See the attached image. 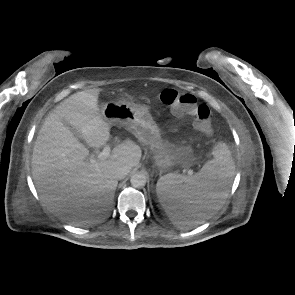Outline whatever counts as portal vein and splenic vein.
Masks as SVG:
<instances>
[{"label": "portal vein and splenic vein", "mask_w": 295, "mask_h": 295, "mask_svg": "<svg viewBox=\"0 0 295 295\" xmlns=\"http://www.w3.org/2000/svg\"><path fill=\"white\" fill-rule=\"evenodd\" d=\"M110 153H111L110 146L109 145H106L103 148L102 152H100V154L98 155L97 160L96 159H92V162L95 163L96 161L106 160L110 156ZM189 174H192V171H189Z\"/></svg>", "instance_id": "18ae733b"}]
</instances>
